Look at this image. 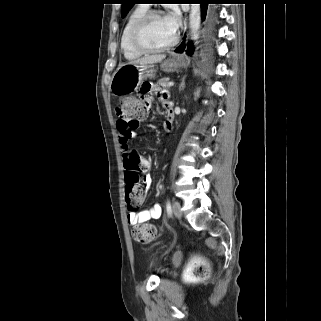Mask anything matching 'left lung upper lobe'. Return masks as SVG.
Here are the masks:
<instances>
[{"instance_id":"obj_1","label":"left lung upper lobe","mask_w":321,"mask_h":321,"mask_svg":"<svg viewBox=\"0 0 321 321\" xmlns=\"http://www.w3.org/2000/svg\"><path fill=\"white\" fill-rule=\"evenodd\" d=\"M136 3V0H121V16L124 18L130 11L132 6Z\"/></svg>"}]
</instances>
